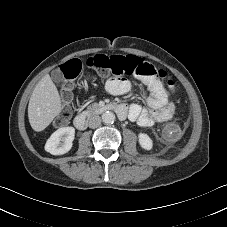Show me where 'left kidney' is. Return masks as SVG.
Here are the masks:
<instances>
[{"mask_svg": "<svg viewBox=\"0 0 227 227\" xmlns=\"http://www.w3.org/2000/svg\"><path fill=\"white\" fill-rule=\"evenodd\" d=\"M139 144L145 150H151L153 147L152 139L145 133H139Z\"/></svg>", "mask_w": 227, "mask_h": 227, "instance_id": "5707ae66", "label": "left kidney"}]
</instances>
